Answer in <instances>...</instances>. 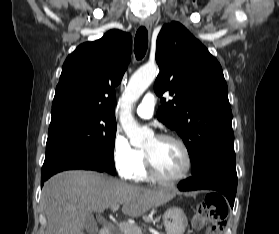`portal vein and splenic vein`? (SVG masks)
Instances as JSON below:
<instances>
[{
    "label": "portal vein and splenic vein",
    "instance_id": "18ae733b",
    "mask_svg": "<svg viewBox=\"0 0 279 234\" xmlns=\"http://www.w3.org/2000/svg\"><path fill=\"white\" fill-rule=\"evenodd\" d=\"M111 208L113 211H117L119 209V204L113 205ZM118 227L126 233L132 231L131 226L128 223H119Z\"/></svg>",
    "mask_w": 279,
    "mask_h": 234
}]
</instances>
